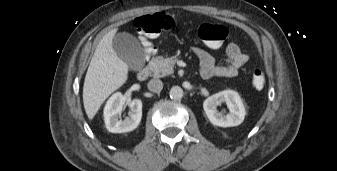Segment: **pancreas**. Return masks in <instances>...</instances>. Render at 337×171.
<instances>
[{
	"label": "pancreas",
	"instance_id": "pancreas-1",
	"mask_svg": "<svg viewBox=\"0 0 337 171\" xmlns=\"http://www.w3.org/2000/svg\"><path fill=\"white\" fill-rule=\"evenodd\" d=\"M175 63V57L164 58L162 56H158L152 58L149 63V68L152 70L154 77H164L171 75L174 72L173 67Z\"/></svg>",
	"mask_w": 337,
	"mask_h": 171
}]
</instances>
